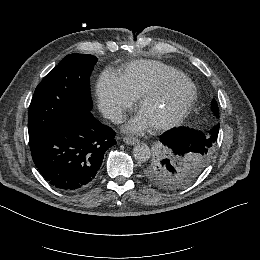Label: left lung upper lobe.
Here are the masks:
<instances>
[{"mask_svg":"<svg viewBox=\"0 0 260 260\" xmlns=\"http://www.w3.org/2000/svg\"><path fill=\"white\" fill-rule=\"evenodd\" d=\"M211 107L218 118L219 110L215 99L212 100ZM211 158L212 148L204 153L175 155L160 140L152 157L143 166L142 172L154 185L178 190L192 184L205 170Z\"/></svg>","mask_w":260,"mask_h":260,"instance_id":"1","label":"left lung upper lobe"}]
</instances>
